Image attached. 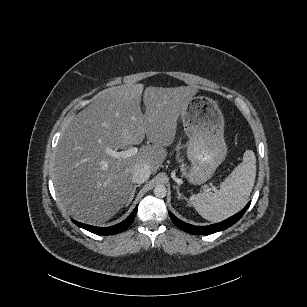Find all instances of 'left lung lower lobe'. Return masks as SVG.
I'll return each mask as SVG.
<instances>
[{"mask_svg": "<svg viewBox=\"0 0 307 307\" xmlns=\"http://www.w3.org/2000/svg\"><path fill=\"white\" fill-rule=\"evenodd\" d=\"M250 202L246 205V207L241 210L239 213L235 214L234 216L220 222L217 224L209 225V226H194L187 224L181 220H179L177 217H175L171 212H169V215L174 222V224L179 227L181 230L186 231L188 233L194 234V235H207L212 234L221 230H224L230 226H232L234 223H236L242 215L245 213L247 208L249 207Z\"/></svg>", "mask_w": 307, "mask_h": 307, "instance_id": "1", "label": "left lung lower lobe"}]
</instances>
